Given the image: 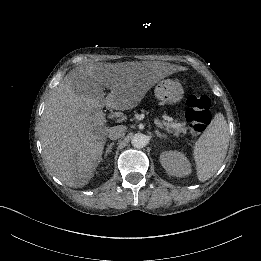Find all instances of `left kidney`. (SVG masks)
Masks as SVG:
<instances>
[{
    "label": "left kidney",
    "mask_w": 261,
    "mask_h": 261,
    "mask_svg": "<svg viewBox=\"0 0 261 261\" xmlns=\"http://www.w3.org/2000/svg\"><path fill=\"white\" fill-rule=\"evenodd\" d=\"M160 163L168 175L181 177L190 173V165L183 154L178 152H163Z\"/></svg>",
    "instance_id": "obj_1"
}]
</instances>
